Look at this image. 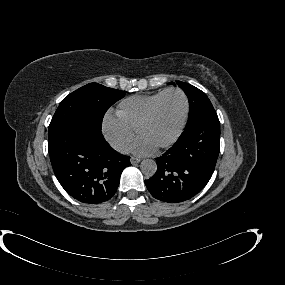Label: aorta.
Wrapping results in <instances>:
<instances>
[{
    "mask_svg": "<svg viewBox=\"0 0 285 285\" xmlns=\"http://www.w3.org/2000/svg\"><path fill=\"white\" fill-rule=\"evenodd\" d=\"M140 169L145 176L152 177L157 171V164L152 159H144L141 162Z\"/></svg>",
    "mask_w": 285,
    "mask_h": 285,
    "instance_id": "obj_1",
    "label": "aorta"
}]
</instances>
